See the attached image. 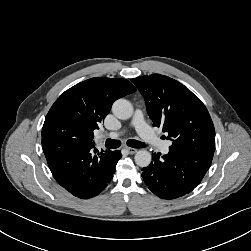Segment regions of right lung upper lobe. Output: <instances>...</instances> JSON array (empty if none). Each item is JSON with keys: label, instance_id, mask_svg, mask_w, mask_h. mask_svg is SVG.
I'll return each instance as SVG.
<instances>
[{"label": "right lung upper lobe", "instance_id": "obj_1", "mask_svg": "<svg viewBox=\"0 0 251 251\" xmlns=\"http://www.w3.org/2000/svg\"><path fill=\"white\" fill-rule=\"evenodd\" d=\"M135 91V87L125 79L94 77L62 93L46 117L61 115L74 121L87 138L86 146H93V131L99 128L113 102Z\"/></svg>", "mask_w": 251, "mask_h": 251}]
</instances>
